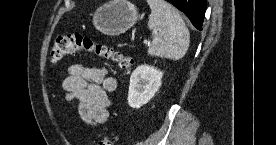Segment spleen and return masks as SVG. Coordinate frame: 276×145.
Listing matches in <instances>:
<instances>
[{
	"label": "spleen",
	"mask_w": 276,
	"mask_h": 145,
	"mask_svg": "<svg viewBox=\"0 0 276 145\" xmlns=\"http://www.w3.org/2000/svg\"><path fill=\"white\" fill-rule=\"evenodd\" d=\"M147 3L151 9L148 27L154 33L148 54L173 60L181 59L190 43L189 31L181 15L164 0H147Z\"/></svg>",
	"instance_id": "spleen-1"
}]
</instances>
